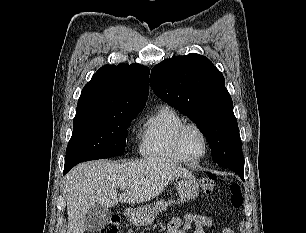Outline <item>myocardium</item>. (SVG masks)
<instances>
[{
  "label": "myocardium",
  "mask_w": 306,
  "mask_h": 233,
  "mask_svg": "<svg viewBox=\"0 0 306 233\" xmlns=\"http://www.w3.org/2000/svg\"><path fill=\"white\" fill-rule=\"evenodd\" d=\"M189 128H193L195 129L202 137L203 142H204V151L203 153L198 156L197 158H188L182 148V136L184 134V132L189 129ZM174 147H175V151L178 154V156L180 157V159L184 162H188V163H195V162H199L201 161L203 158L206 157V155L208 154L209 151V141H208V137L205 133V131L196 123L194 122H184L176 131L175 136H174Z\"/></svg>",
  "instance_id": "myocardium-1"
}]
</instances>
